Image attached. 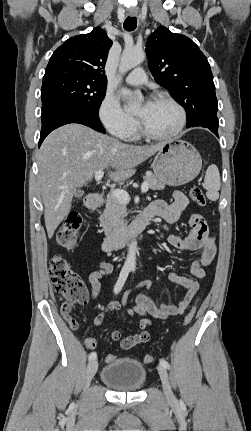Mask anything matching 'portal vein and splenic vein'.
<instances>
[{
    "mask_svg": "<svg viewBox=\"0 0 251 431\" xmlns=\"http://www.w3.org/2000/svg\"><path fill=\"white\" fill-rule=\"evenodd\" d=\"M104 175L103 170H99L95 173V180L97 182L101 181L102 177ZM149 189V183L147 181H144L141 185V192L146 193ZM111 196L116 198L119 202L123 204H127L130 202V196L129 194L122 189H114L111 191Z\"/></svg>",
    "mask_w": 251,
    "mask_h": 431,
    "instance_id": "obj_1",
    "label": "portal vein and splenic vein"
}]
</instances>
